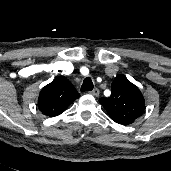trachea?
I'll use <instances>...</instances> for the list:
<instances>
[{"label":"trachea","instance_id":"3493384b","mask_svg":"<svg viewBox=\"0 0 171 171\" xmlns=\"http://www.w3.org/2000/svg\"><path fill=\"white\" fill-rule=\"evenodd\" d=\"M94 88L91 77H86L81 86V91H91Z\"/></svg>","mask_w":171,"mask_h":171}]
</instances>
